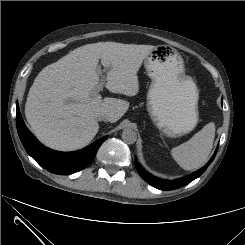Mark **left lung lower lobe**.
Listing matches in <instances>:
<instances>
[{
    "label": "left lung lower lobe",
    "instance_id": "obj_1",
    "mask_svg": "<svg viewBox=\"0 0 245 245\" xmlns=\"http://www.w3.org/2000/svg\"><path fill=\"white\" fill-rule=\"evenodd\" d=\"M218 147L214 153V155L212 156V158L210 159V161L201 169H199L198 171L183 177V178H179L176 180H162L159 179L157 177L152 176L150 173H148L147 171H145L142 166L139 164V162L137 161V159L135 158V166L140 174V176L146 181L148 182L150 185H152L153 187L160 189V190H173V189H177L180 188L182 186L187 185L188 183L192 182L193 180H195L196 178H198L202 173L205 172V170L207 169V167L210 165V163L213 161L216 153H217Z\"/></svg>",
    "mask_w": 245,
    "mask_h": 245
}]
</instances>
